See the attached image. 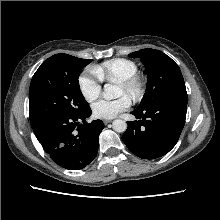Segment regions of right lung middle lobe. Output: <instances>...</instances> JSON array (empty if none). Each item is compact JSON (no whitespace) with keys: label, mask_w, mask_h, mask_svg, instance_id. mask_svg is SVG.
I'll return each mask as SVG.
<instances>
[{"label":"right lung middle lobe","mask_w":220,"mask_h":220,"mask_svg":"<svg viewBox=\"0 0 220 220\" xmlns=\"http://www.w3.org/2000/svg\"><path fill=\"white\" fill-rule=\"evenodd\" d=\"M91 59L56 54L35 72L29 91V117L32 128L61 115H77L88 108L80 87V71Z\"/></svg>","instance_id":"obj_1"}]
</instances>
